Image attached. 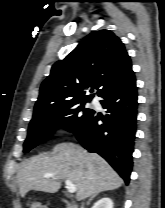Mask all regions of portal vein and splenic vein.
<instances>
[{
	"label": "portal vein and splenic vein",
	"instance_id": "1",
	"mask_svg": "<svg viewBox=\"0 0 165 208\" xmlns=\"http://www.w3.org/2000/svg\"><path fill=\"white\" fill-rule=\"evenodd\" d=\"M51 177H54V174L52 173H46L44 175V178H51ZM65 184H66V188L68 190L69 193H75L76 191V186L69 180H66L65 181Z\"/></svg>",
	"mask_w": 165,
	"mask_h": 208
}]
</instances>
